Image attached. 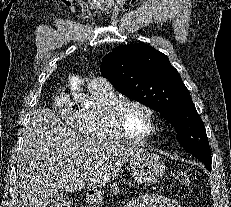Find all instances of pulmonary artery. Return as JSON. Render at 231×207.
<instances>
[{
    "label": "pulmonary artery",
    "mask_w": 231,
    "mask_h": 207,
    "mask_svg": "<svg viewBox=\"0 0 231 207\" xmlns=\"http://www.w3.org/2000/svg\"><path fill=\"white\" fill-rule=\"evenodd\" d=\"M89 87L92 88H110V83L102 77H94L89 82Z\"/></svg>",
    "instance_id": "1"
}]
</instances>
